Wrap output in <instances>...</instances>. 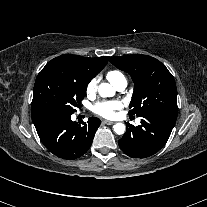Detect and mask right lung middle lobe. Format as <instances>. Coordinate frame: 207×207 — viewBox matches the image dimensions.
<instances>
[{
	"label": "right lung middle lobe",
	"mask_w": 207,
	"mask_h": 207,
	"mask_svg": "<svg viewBox=\"0 0 207 207\" xmlns=\"http://www.w3.org/2000/svg\"><path fill=\"white\" fill-rule=\"evenodd\" d=\"M88 83L77 69L51 60L36 78L31 110L58 108L74 113L81 105Z\"/></svg>",
	"instance_id": "1"
}]
</instances>
